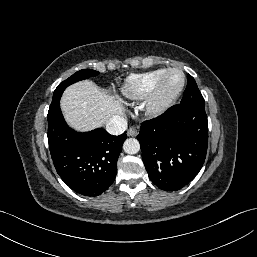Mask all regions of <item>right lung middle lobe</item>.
Returning <instances> with one entry per match:
<instances>
[{
	"label": "right lung middle lobe",
	"mask_w": 257,
	"mask_h": 257,
	"mask_svg": "<svg viewBox=\"0 0 257 257\" xmlns=\"http://www.w3.org/2000/svg\"><path fill=\"white\" fill-rule=\"evenodd\" d=\"M98 74H99V72L92 70V69H83V70L76 72L75 74L70 76L68 79H66L65 81L60 83L59 86L55 89L51 105H55L58 101H60L63 91L69 85H71L77 81L87 79L89 77L97 76Z\"/></svg>",
	"instance_id": "dd1d6c3e"
}]
</instances>
